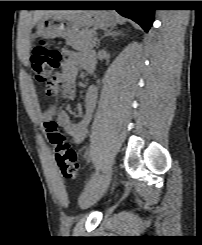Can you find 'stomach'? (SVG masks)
I'll list each match as a JSON object with an SVG mask.
<instances>
[{"instance_id":"0dacf381","label":"stomach","mask_w":202,"mask_h":245,"mask_svg":"<svg viewBox=\"0 0 202 245\" xmlns=\"http://www.w3.org/2000/svg\"><path fill=\"white\" fill-rule=\"evenodd\" d=\"M115 25L112 13L91 10L75 15L49 13L37 23V36L43 39L62 37L69 39L84 27H109Z\"/></svg>"}]
</instances>
